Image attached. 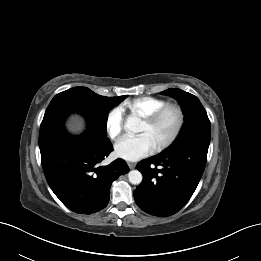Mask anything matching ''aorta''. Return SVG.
Returning a JSON list of instances; mask_svg holds the SVG:
<instances>
[{
  "label": "aorta",
  "instance_id": "1",
  "mask_svg": "<svg viewBox=\"0 0 261 261\" xmlns=\"http://www.w3.org/2000/svg\"><path fill=\"white\" fill-rule=\"evenodd\" d=\"M124 128L132 132H140V119L129 116ZM128 179L131 184L138 185L142 182V174L138 170H131L128 173Z\"/></svg>",
  "mask_w": 261,
  "mask_h": 261
}]
</instances>
